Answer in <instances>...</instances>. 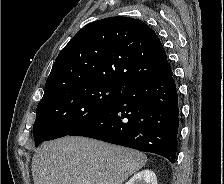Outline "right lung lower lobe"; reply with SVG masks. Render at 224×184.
I'll return each instance as SVG.
<instances>
[{
  "label": "right lung lower lobe",
  "instance_id": "1",
  "mask_svg": "<svg viewBox=\"0 0 224 184\" xmlns=\"http://www.w3.org/2000/svg\"><path fill=\"white\" fill-rule=\"evenodd\" d=\"M179 106L172 71L126 85L116 100L69 135L156 153L175 162Z\"/></svg>",
  "mask_w": 224,
  "mask_h": 184
}]
</instances>
